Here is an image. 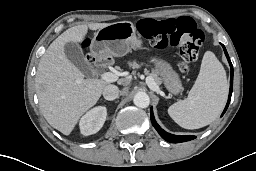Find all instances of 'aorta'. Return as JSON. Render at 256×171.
<instances>
[{"label": "aorta", "instance_id": "obj_1", "mask_svg": "<svg viewBox=\"0 0 256 171\" xmlns=\"http://www.w3.org/2000/svg\"><path fill=\"white\" fill-rule=\"evenodd\" d=\"M133 102L139 108H147L150 104V98L147 93L139 92L134 96Z\"/></svg>", "mask_w": 256, "mask_h": 171}]
</instances>
